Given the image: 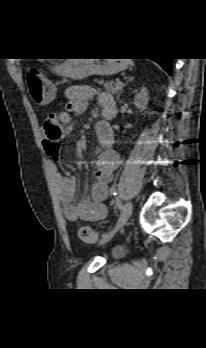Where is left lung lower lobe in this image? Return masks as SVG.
<instances>
[{"label": "left lung lower lobe", "mask_w": 206, "mask_h": 348, "mask_svg": "<svg viewBox=\"0 0 206 348\" xmlns=\"http://www.w3.org/2000/svg\"><path fill=\"white\" fill-rule=\"evenodd\" d=\"M172 59L173 58H159L153 60L160 64L168 74L172 75Z\"/></svg>", "instance_id": "obj_1"}]
</instances>
